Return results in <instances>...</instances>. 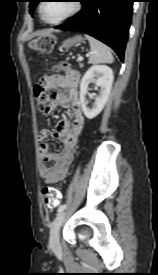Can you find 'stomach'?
Here are the masks:
<instances>
[{
    "mask_svg": "<svg viewBox=\"0 0 158 275\" xmlns=\"http://www.w3.org/2000/svg\"><path fill=\"white\" fill-rule=\"evenodd\" d=\"M82 38L80 36H76L74 38L71 39H67L64 43H63V47L69 48L71 45H73L74 43L77 42H81Z\"/></svg>",
    "mask_w": 158,
    "mask_h": 275,
    "instance_id": "1",
    "label": "stomach"
}]
</instances>
